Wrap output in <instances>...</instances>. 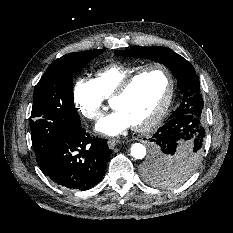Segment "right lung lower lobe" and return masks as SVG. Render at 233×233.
<instances>
[{"label":"right lung lower lobe","instance_id":"right-lung-lower-lobe-1","mask_svg":"<svg viewBox=\"0 0 233 233\" xmlns=\"http://www.w3.org/2000/svg\"><path fill=\"white\" fill-rule=\"evenodd\" d=\"M110 154L105 140L78 126L60 136L40 168L61 186L87 190L100 182Z\"/></svg>","mask_w":233,"mask_h":233}]
</instances>
